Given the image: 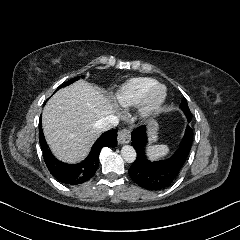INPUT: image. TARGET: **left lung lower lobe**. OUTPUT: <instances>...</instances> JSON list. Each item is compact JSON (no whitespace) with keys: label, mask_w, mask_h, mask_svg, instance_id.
Returning a JSON list of instances; mask_svg holds the SVG:
<instances>
[{"label":"left lung lower lobe","mask_w":240,"mask_h":240,"mask_svg":"<svg viewBox=\"0 0 240 240\" xmlns=\"http://www.w3.org/2000/svg\"><path fill=\"white\" fill-rule=\"evenodd\" d=\"M131 145L137 157L129 168L131 179L148 190H160L169 186L183 167L193 141V130L186 128L184 138L175 154L165 160L151 162L145 155L146 127L140 126L131 133Z\"/></svg>","instance_id":"1"}]
</instances>
